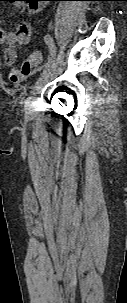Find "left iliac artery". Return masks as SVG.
Here are the masks:
<instances>
[{
  "label": "left iliac artery",
  "mask_w": 127,
  "mask_h": 303,
  "mask_svg": "<svg viewBox=\"0 0 127 303\" xmlns=\"http://www.w3.org/2000/svg\"><path fill=\"white\" fill-rule=\"evenodd\" d=\"M45 42L49 47L50 54L48 57V61H47L46 65L44 66L43 72L50 69L54 65L55 59H56V47L54 45L52 37L49 34H47L45 36ZM35 87H36V83H35V85L32 86V89H34Z\"/></svg>",
  "instance_id": "left-iliac-artery-1"
}]
</instances>
